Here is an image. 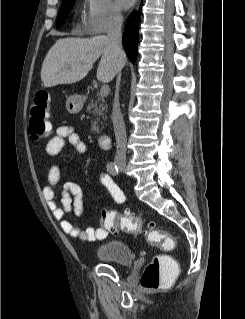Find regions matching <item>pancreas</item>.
Segmentation results:
<instances>
[{
  "mask_svg": "<svg viewBox=\"0 0 245 319\" xmlns=\"http://www.w3.org/2000/svg\"><path fill=\"white\" fill-rule=\"evenodd\" d=\"M106 108H107V105L105 103L103 96H98L96 100L91 99L90 103L88 104L86 111L88 113L93 114V116L95 117L91 125V131L93 133L100 132L98 122L100 121V117H102L103 119L106 118V116L104 117V111L106 110Z\"/></svg>",
  "mask_w": 245,
  "mask_h": 319,
  "instance_id": "obj_1",
  "label": "pancreas"
}]
</instances>
